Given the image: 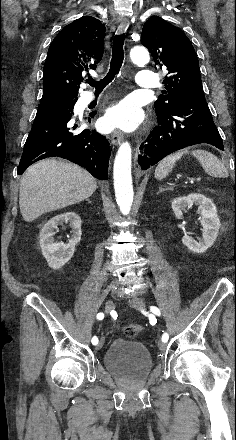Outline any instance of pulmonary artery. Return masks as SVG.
<instances>
[{"instance_id": "pulmonary-artery-1", "label": "pulmonary artery", "mask_w": 236, "mask_h": 440, "mask_svg": "<svg viewBox=\"0 0 236 440\" xmlns=\"http://www.w3.org/2000/svg\"><path fill=\"white\" fill-rule=\"evenodd\" d=\"M156 75L148 70H140L136 77V86L142 89L154 88L156 86ZM94 99L92 93L87 92L84 96V102L89 103Z\"/></svg>"}]
</instances>
